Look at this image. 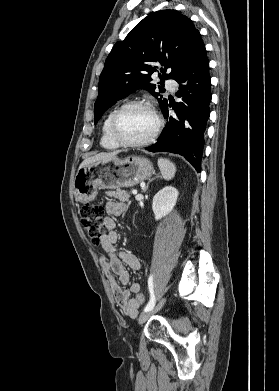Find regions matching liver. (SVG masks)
Listing matches in <instances>:
<instances>
[{"label":"liver","instance_id":"6515ba94","mask_svg":"<svg viewBox=\"0 0 279 391\" xmlns=\"http://www.w3.org/2000/svg\"><path fill=\"white\" fill-rule=\"evenodd\" d=\"M118 152H102L99 154H96L94 156L86 158L81 164L80 168L86 167L92 163L99 162V161H108L111 159L116 158Z\"/></svg>","mask_w":279,"mask_h":391}]
</instances>
